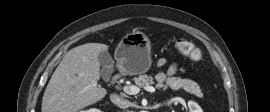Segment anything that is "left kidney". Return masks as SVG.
<instances>
[{"label": "left kidney", "mask_w": 270, "mask_h": 112, "mask_svg": "<svg viewBox=\"0 0 270 112\" xmlns=\"http://www.w3.org/2000/svg\"><path fill=\"white\" fill-rule=\"evenodd\" d=\"M190 112H203V110L194 102L190 103Z\"/></svg>", "instance_id": "obj_1"}]
</instances>
